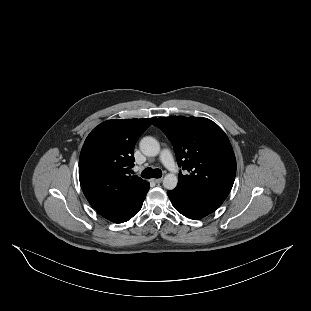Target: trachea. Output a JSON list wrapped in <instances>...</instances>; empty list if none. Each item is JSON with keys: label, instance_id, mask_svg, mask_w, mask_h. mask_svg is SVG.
<instances>
[{"label": "trachea", "instance_id": "obj_1", "mask_svg": "<svg viewBox=\"0 0 311 311\" xmlns=\"http://www.w3.org/2000/svg\"><path fill=\"white\" fill-rule=\"evenodd\" d=\"M141 176L143 178H161L162 171L161 169H152V168H146L142 171Z\"/></svg>", "mask_w": 311, "mask_h": 311}]
</instances>
